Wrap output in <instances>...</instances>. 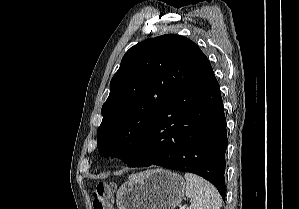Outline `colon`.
Masks as SVG:
<instances>
[{
	"mask_svg": "<svg viewBox=\"0 0 299 209\" xmlns=\"http://www.w3.org/2000/svg\"><path fill=\"white\" fill-rule=\"evenodd\" d=\"M116 185L113 183H99L92 192L94 209H113V195Z\"/></svg>",
	"mask_w": 299,
	"mask_h": 209,
	"instance_id": "5ec220e1",
	"label": "colon"
}]
</instances>
